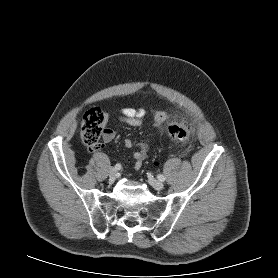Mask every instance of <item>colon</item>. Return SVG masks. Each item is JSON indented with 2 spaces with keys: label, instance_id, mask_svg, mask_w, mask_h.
I'll return each mask as SVG.
<instances>
[{
  "label": "colon",
  "instance_id": "obj_1",
  "mask_svg": "<svg viewBox=\"0 0 278 278\" xmlns=\"http://www.w3.org/2000/svg\"><path fill=\"white\" fill-rule=\"evenodd\" d=\"M104 122L105 116L99 108H92L85 113L81 123V138L88 148L95 149L99 146V140L104 131ZM167 134L172 139L189 146L190 130L186 124H170L167 127Z\"/></svg>",
  "mask_w": 278,
  "mask_h": 278
}]
</instances>
